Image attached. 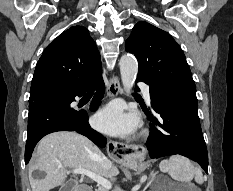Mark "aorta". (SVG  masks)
<instances>
[{"mask_svg": "<svg viewBox=\"0 0 233 191\" xmlns=\"http://www.w3.org/2000/svg\"><path fill=\"white\" fill-rule=\"evenodd\" d=\"M119 65L123 88L130 92L137 77L138 62L133 55L125 54L121 57Z\"/></svg>", "mask_w": 233, "mask_h": 191, "instance_id": "1", "label": "aorta"}]
</instances>
